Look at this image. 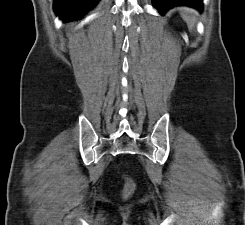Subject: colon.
Wrapping results in <instances>:
<instances>
[{"label": "colon", "instance_id": "1", "mask_svg": "<svg viewBox=\"0 0 245 225\" xmlns=\"http://www.w3.org/2000/svg\"><path fill=\"white\" fill-rule=\"evenodd\" d=\"M134 192H135V184L131 180H127L122 194L123 199L127 200L131 198Z\"/></svg>", "mask_w": 245, "mask_h": 225}]
</instances>
